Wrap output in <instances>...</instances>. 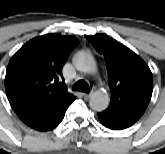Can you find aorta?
Listing matches in <instances>:
<instances>
[{
  "label": "aorta",
  "mask_w": 165,
  "mask_h": 154,
  "mask_svg": "<svg viewBox=\"0 0 165 154\" xmlns=\"http://www.w3.org/2000/svg\"><path fill=\"white\" fill-rule=\"evenodd\" d=\"M75 67L84 73L94 74L97 72V64L94 57L86 52H79L73 59ZM110 98L103 91H96L90 99L93 110L103 111L109 106Z\"/></svg>",
  "instance_id": "aorta-1"
}]
</instances>
